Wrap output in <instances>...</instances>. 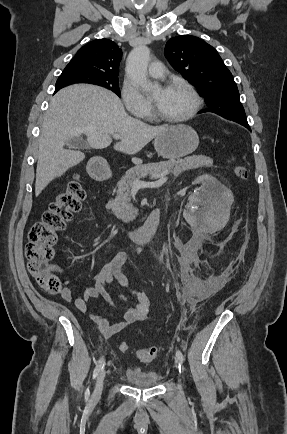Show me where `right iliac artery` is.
Wrapping results in <instances>:
<instances>
[{
  "label": "right iliac artery",
  "mask_w": 287,
  "mask_h": 434,
  "mask_svg": "<svg viewBox=\"0 0 287 434\" xmlns=\"http://www.w3.org/2000/svg\"><path fill=\"white\" fill-rule=\"evenodd\" d=\"M102 368H103V359L99 360L98 363L96 364V367L93 371V379H95L98 376ZM86 396L87 397L89 396V389H87L86 391Z\"/></svg>",
  "instance_id": "right-iliac-artery-1"
}]
</instances>
